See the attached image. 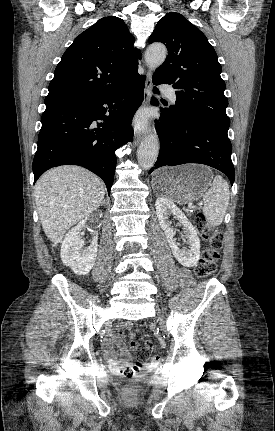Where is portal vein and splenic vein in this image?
I'll return each mask as SVG.
<instances>
[{
    "label": "portal vein and splenic vein",
    "instance_id": "18ae733b",
    "mask_svg": "<svg viewBox=\"0 0 275 431\" xmlns=\"http://www.w3.org/2000/svg\"><path fill=\"white\" fill-rule=\"evenodd\" d=\"M191 208H192V204L190 203L186 211H190Z\"/></svg>",
    "mask_w": 275,
    "mask_h": 431
}]
</instances>
